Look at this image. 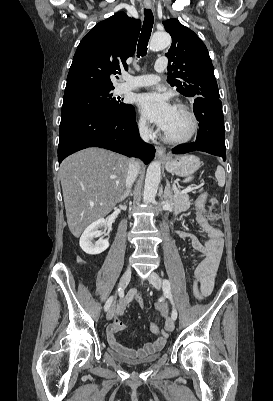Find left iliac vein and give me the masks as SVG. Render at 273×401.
<instances>
[{
  "mask_svg": "<svg viewBox=\"0 0 273 401\" xmlns=\"http://www.w3.org/2000/svg\"><path fill=\"white\" fill-rule=\"evenodd\" d=\"M148 280L156 289L159 290L161 288L162 280L156 272H151ZM174 327V320L171 317H167L165 329L169 332H172L174 330Z\"/></svg>",
  "mask_w": 273,
  "mask_h": 401,
  "instance_id": "obj_1",
  "label": "left iliac vein"
}]
</instances>
